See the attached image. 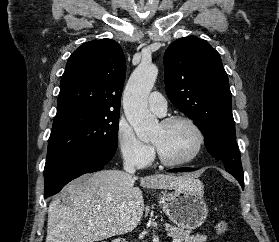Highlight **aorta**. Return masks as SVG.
I'll list each match as a JSON object with an SVG mask.
<instances>
[{
    "instance_id": "aorta-1",
    "label": "aorta",
    "mask_w": 279,
    "mask_h": 242,
    "mask_svg": "<svg viewBox=\"0 0 279 242\" xmlns=\"http://www.w3.org/2000/svg\"><path fill=\"white\" fill-rule=\"evenodd\" d=\"M158 69L153 64L141 63L131 75L123 95L125 116L137 137L148 141L158 127L157 118L147 107V98L156 81Z\"/></svg>"
}]
</instances>
